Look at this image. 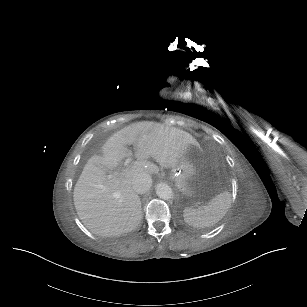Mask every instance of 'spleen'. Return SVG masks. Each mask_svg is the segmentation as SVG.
Masks as SVG:
<instances>
[{
    "instance_id": "1",
    "label": "spleen",
    "mask_w": 307,
    "mask_h": 307,
    "mask_svg": "<svg viewBox=\"0 0 307 307\" xmlns=\"http://www.w3.org/2000/svg\"><path fill=\"white\" fill-rule=\"evenodd\" d=\"M231 194L223 191L213 197L207 205L198 209L186 208L183 218L190 226L209 227L219 222L231 206Z\"/></svg>"
}]
</instances>
